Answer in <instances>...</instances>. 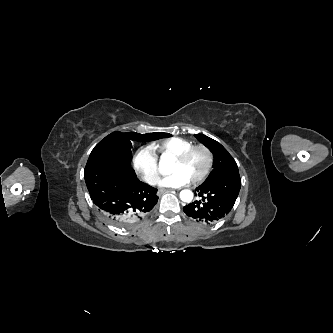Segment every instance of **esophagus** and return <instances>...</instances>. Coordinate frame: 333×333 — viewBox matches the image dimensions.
Instances as JSON below:
<instances>
[{
	"instance_id": "esophagus-1",
	"label": "esophagus",
	"mask_w": 333,
	"mask_h": 333,
	"mask_svg": "<svg viewBox=\"0 0 333 333\" xmlns=\"http://www.w3.org/2000/svg\"><path fill=\"white\" fill-rule=\"evenodd\" d=\"M172 189H160V190H158V192H157V195L158 196H161L162 194H164V193H166V192H169V191H171Z\"/></svg>"
}]
</instances>
